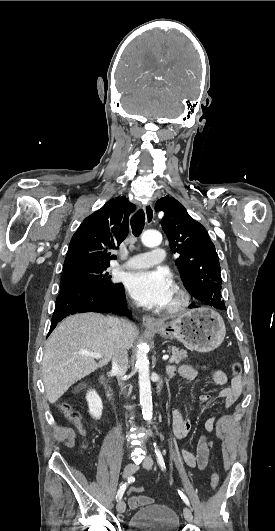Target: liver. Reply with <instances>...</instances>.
<instances>
[{
  "label": "liver",
  "mask_w": 275,
  "mask_h": 531,
  "mask_svg": "<svg viewBox=\"0 0 275 531\" xmlns=\"http://www.w3.org/2000/svg\"><path fill=\"white\" fill-rule=\"evenodd\" d=\"M109 317L99 313H80L67 317L50 335L42 361L43 383L49 403H56L71 385L87 377L112 359L113 345ZM123 341L130 349L135 341L132 323L120 319ZM81 353H100L102 359L84 357Z\"/></svg>",
  "instance_id": "liver-1"
}]
</instances>
